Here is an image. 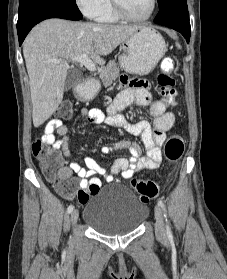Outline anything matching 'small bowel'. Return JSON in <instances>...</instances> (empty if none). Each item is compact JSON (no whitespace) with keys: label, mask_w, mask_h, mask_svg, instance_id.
<instances>
[{"label":"small bowel","mask_w":227,"mask_h":279,"mask_svg":"<svg viewBox=\"0 0 227 279\" xmlns=\"http://www.w3.org/2000/svg\"><path fill=\"white\" fill-rule=\"evenodd\" d=\"M122 90L109 104V116L105 119L99 109H82V117L92 124H101L106 122L110 126H120L132 135L140 136L142 144L146 150V156H142L139 148L129 141H118L102 147L103 154H111L116 151L128 150V158H118L114 161L109 172L101 167L98 162L91 156L84 158V165L77 162H71L62 166L59 170L60 178L64 181L76 175L80 178V187L82 191L89 196L90 185L101 184L100 178L112 182L115 175L120 174L127 179L141 170H155L160 166L162 155L160 147L166 140V132L174 124L175 116L171 112H165L166 103L162 100H155L150 92L149 82L142 79H129L127 76L121 77ZM132 104L149 108L150 115L153 118V124L148 120H140L135 123L128 122L120 114ZM54 133L61 135L60 139L54 138ZM53 138L48 144L53 150L59 151L67 156H73L69 148V136L67 127L59 120H49L45 127V137L43 140ZM85 199H79L80 204H85Z\"/></svg>","instance_id":"small-bowel-1"}]
</instances>
